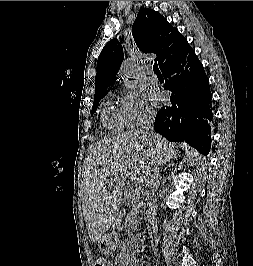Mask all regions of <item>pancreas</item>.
<instances>
[{"mask_svg": "<svg viewBox=\"0 0 253 266\" xmlns=\"http://www.w3.org/2000/svg\"><path fill=\"white\" fill-rule=\"evenodd\" d=\"M138 195V193L131 195L130 201L128 203V207L131 208L128 209L127 213V225L130 228H136L141 217V211L139 209L140 205L136 203L139 202Z\"/></svg>", "mask_w": 253, "mask_h": 266, "instance_id": "1", "label": "pancreas"}]
</instances>
